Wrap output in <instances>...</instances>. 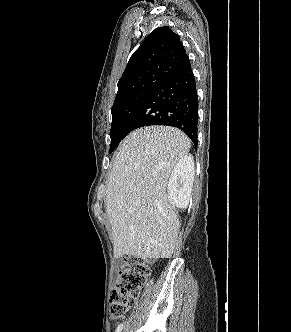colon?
I'll use <instances>...</instances> for the list:
<instances>
[{
    "instance_id": "1",
    "label": "colon",
    "mask_w": 291,
    "mask_h": 332,
    "mask_svg": "<svg viewBox=\"0 0 291 332\" xmlns=\"http://www.w3.org/2000/svg\"><path fill=\"white\" fill-rule=\"evenodd\" d=\"M148 274L149 268L143 258L123 257L110 296L111 313L114 317L122 316L135 302Z\"/></svg>"
}]
</instances>
